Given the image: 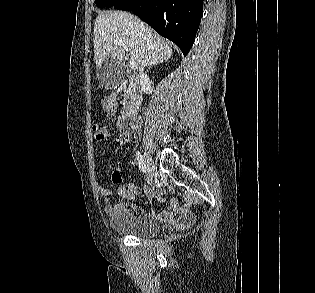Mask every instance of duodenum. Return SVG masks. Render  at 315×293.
<instances>
[{
	"mask_svg": "<svg viewBox=\"0 0 315 293\" xmlns=\"http://www.w3.org/2000/svg\"><path fill=\"white\" fill-rule=\"evenodd\" d=\"M138 119V111L135 108L128 111L121 117L119 121L120 131L126 134L131 133L135 129Z\"/></svg>",
	"mask_w": 315,
	"mask_h": 293,
	"instance_id": "1",
	"label": "duodenum"
}]
</instances>
